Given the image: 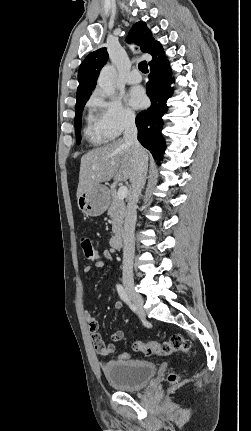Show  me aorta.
I'll list each match as a JSON object with an SVG mask.
<instances>
[{"mask_svg": "<svg viewBox=\"0 0 251 431\" xmlns=\"http://www.w3.org/2000/svg\"><path fill=\"white\" fill-rule=\"evenodd\" d=\"M115 76L116 68L109 64L105 65L99 74L97 84L103 93L108 97H112L115 93Z\"/></svg>", "mask_w": 251, "mask_h": 431, "instance_id": "aorta-1", "label": "aorta"}]
</instances>
